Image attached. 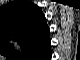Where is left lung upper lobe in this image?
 Segmentation results:
<instances>
[{
    "mask_svg": "<svg viewBox=\"0 0 80 60\" xmlns=\"http://www.w3.org/2000/svg\"><path fill=\"white\" fill-rule=\"evenodd\" d=\"M44 15L29 1H14L0 9V42L4 48L14 52L12 46L5 42L7 38L19 40L24 55L35 59L45 35Z\"/></svg>",
    "mask_w": 80,
    "mask_h": 60,
    "instance_id": "5c2ea615",
    "label": "left lung upper lobe"
}]
</instances>
